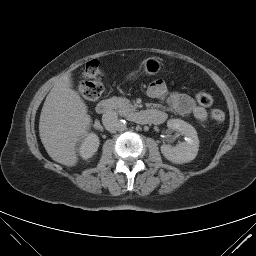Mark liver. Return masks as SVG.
<instances>
[{"mask_svg":"<svg viewBox=\"0 0 256 256\" xmlns=\"http://www.w3.org/2000/svg\"><path fill=\"white\" fill-rule=\"evenodd\" d=\"M80 95L72 89L71 74L61 77L46 97L39 135L48 155L65 166L78 162L77 143L86 135L91 117Z\"/></svg>","mask_w":256,"mask_h":256,"instance_id":"liver-1","label":"liver"}]
</instances>
